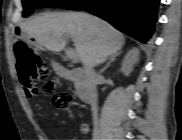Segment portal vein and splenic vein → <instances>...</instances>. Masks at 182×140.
Wrapping results in <instances>:
<instances>
[{
  "label": "portal vein and splenic vein",
  "instance_id": "obj_1",
  "mask_svg": "<svg viewBox=\"0 0 182 140\" xmlns=\"http://www.w3.org/2000/svg\"><path fill=\"white\" fill-rule=\"evenodd\" d=\"M67 58L71 59L73 61H77L78 60V55L74 50H68L66 52Z\"/></svg>",
  "mask_w": 182,
  "mask_h": 140
}]
</instances>
